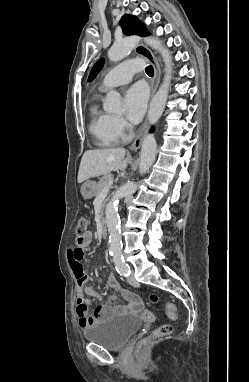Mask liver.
Instances as JSON below:
<instances>
[{
	"mask_svg": "<svg viewBox=\"0 0 249 382\" xmlns=\"http://www.w3.org/2000/svg\"><path fill=\"white\" fill-rule=\"evenodd\" d=\"M126 150L123 148L93 149L86 151L81 159L78 183L89 178L105 175L111 171L127 168L131 157L125 158Z\"/></svg>",
	"mask_w": 249,
	"mask_h": 382,
	"instance_id": "1",
	"label": "liver"
}]
</instances>
